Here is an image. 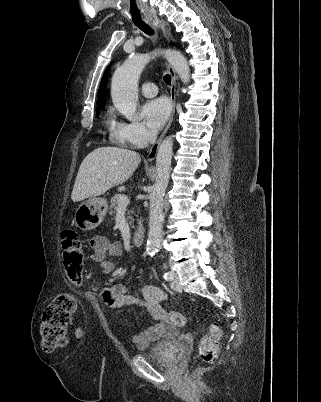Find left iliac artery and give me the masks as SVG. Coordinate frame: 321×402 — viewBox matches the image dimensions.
<instances>
[{"label":"left iliac artery","mask_w":321,"mask_h":402,"mask_svg":"<svg viewBox=\"0 0 321 402\" xmlns=\"http://www.w3.org/2000/svg\"><path fill=\"white\" fill-rule=\"evenodd\" d=\"M165 280H172L173 276L170 272H166L163 276Z\"/></svg>","instance_id":"obj_1"}]
</instances>
